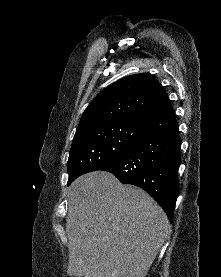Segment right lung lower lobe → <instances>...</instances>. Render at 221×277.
<instances>
[{"instance_id":"98d812e1","label":"right lung lower lobe","mask_w":221,"mask_h":277,"mask_svg":"<svg viewBox=\"0 0 221 277\" xmlns=\"http://www.w3.org/2000/svg\"><path fill=\"white\" fill-rule=\"evenodd\" d=\"M140 133L120 159L100 170L114 174L123 184L144 189L161 205L172 222L179 191L180 137L170 102L142 116Z\"/></svg>"}]
</instances>
